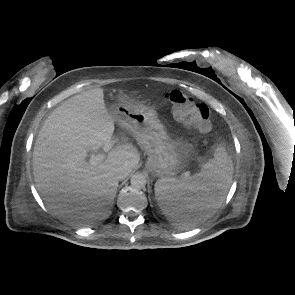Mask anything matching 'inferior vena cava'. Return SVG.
<instances>
[{
	"label": "inferior vena cava",
	"mask_w": 295,
	"mask_h": 295,
	"mask_svg": "<svg viewBox=\"0 0 295 295\" xmlns=\"http://www.w3.org/2000/svg\"><path fill=\"white\" fill-rule=\"evenodd\" d=\"M127 175H128V172L125 168L121 167L116 170V178L118 180L126 178Z\"/></svg>",
	"instance_id": "602c4592"
}]
</instances>
